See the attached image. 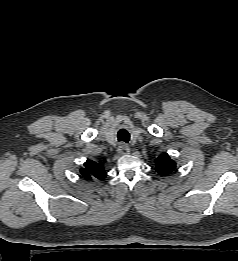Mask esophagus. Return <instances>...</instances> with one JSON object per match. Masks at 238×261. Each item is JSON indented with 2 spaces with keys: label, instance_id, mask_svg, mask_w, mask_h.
<instances>
[{
  "label": "esophagus",
  "instance_id": "obj_1",
  "mask_svg": "<svg viewBox=\"0 0 238 261\" xmlns=\"http://www.w3.org/2000/svg\"><path fill=\"white\" fill-rule=\"evenodd\" d=\"M117 152L120 155H125V154H128L130 152V148L126 143H120L118 148H117Z\"/></svg>",
  "mask_w": 238,
  "mask_h": 261
}]
</instances>
